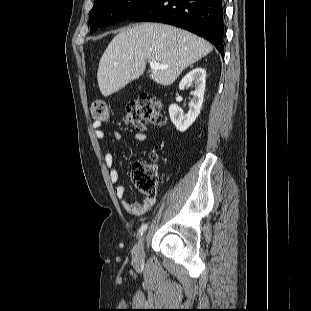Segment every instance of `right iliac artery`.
Returning <instances> with one entry per match:
<instances>
[{
  "instance_id": "82829eb1",
  "label": "right iliac artery",
  "mask_w": 311,
  "mask_h": 311,
  "mask_svg": "<svg viewBox=\"0 0 311 311\" xmlns=\"http://www.w3.org/2000/svg\"><path fill=\"white\" fill-rule=\"evenodd\" d=\"M147 227H148L147 224H143V225L140 227V229H139V231H138V236H139V237L143 235V233L146 231Z\"/></svg>"
}]
</instances>
